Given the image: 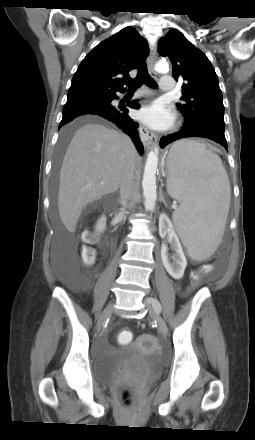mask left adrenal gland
<instances>
[{
  "instance_id": "obj_1",
  "label": "left adrenal gland",
  "mask_w": 255,
  "mask_h": 440,
  "mask_svg": "<svg viewBox=\"0 0 255 440\" xmlns=\"http://www.w3.org/2000/svg\"><path fill=\"white\" fill-rule=\"evenodd\" d=\"M162 201H163V203H164V204H166V202H165L164 198L162 199Z\"/></svg>"
}]
</instances>
